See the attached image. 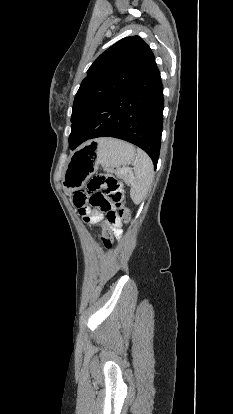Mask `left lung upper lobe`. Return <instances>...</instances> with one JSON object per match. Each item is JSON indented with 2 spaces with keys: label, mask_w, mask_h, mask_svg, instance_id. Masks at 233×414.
<instances>
[{
  "label": "left lung upper lobe",
  "mask_w": 233,
  "mask_h": 414,
  "mask_svg": "<svg viewBox=\"0 0 233 414\" xmlns=\"http://www.w3.org/2000/svg\"><path fill=\"white\" fill-rule=\"evenodd\" d=\"M154 64L151 49L139 36L112 45L94 61L81 83L73 103L72 125L102 101L129 87Z\"/></svg>",
  "instance_id": "obj_1"
}]
</instances>
